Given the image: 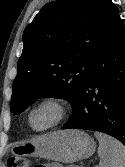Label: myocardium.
Wrapping results in <instances>:
<instances>
[{"label": "myocardium", "instance_id": "f54148a6", "mask_svg": "<svg viewBox=\"0 0 125 167\" xmlns=\"http://www.w3.org/2000/svg\"><path fill=\"white\" fill-rule=\"evenodd\" d=\"M42 109L51 110L52 117L46 125L37 127L33 124V117ZM66 114L67 107L63 99L57 96H46L32 105L27 115V123L32 130L44 132L57 126L61 121H63Z\"/></svg>", "mask_w": 125, "mask_h": 167}]
</instances>
